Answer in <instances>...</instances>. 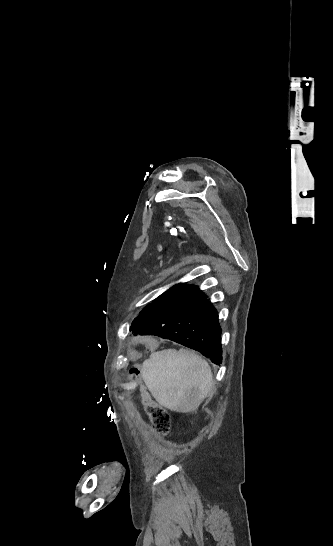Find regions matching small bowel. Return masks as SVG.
<instances>
[{"label": "small bowel", "mask_w": 333, "mask_h": 546, "mask_svg": "<svg viewBox=\"0 0 333 546\" xmlns=\"http://www.w3.org/2000/svg\"><path fill=\"white\" fill-rule=\"evenodd\" d=\"M136 341L138 344H142L145 354H153L154 349L157 348L159 345V342L157 339L154 338L153 333H146L145 336L143 334H140ZM134 359L136 361H141L143 359V356L141 354H136L134 356Z\"/></svg>", "instance_id": "1"}]
</instances>
